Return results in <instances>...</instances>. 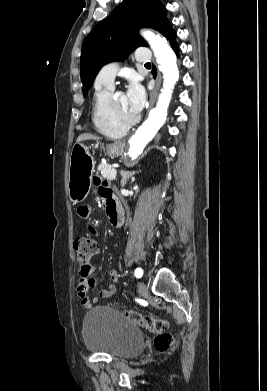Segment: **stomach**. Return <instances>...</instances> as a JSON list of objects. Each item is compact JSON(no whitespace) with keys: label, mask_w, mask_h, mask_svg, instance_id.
<instances>
[{"label":"stomach","mask_w":267,"mask_h":391,"mask_svg":"<svg viewBox=\"0 0 267 391\" xmlns=\"http://www.w3.org/2000/svg\"><path fill=\"white\" fill-rule=\"evenodd\" d=\"M107 154L117 156L121 152V145L114 143L106 147ZM95 161L88 148L76 143L71 151L68 175V193L73 203L82 202L88 195L92 183V172Z\"/></svg>","instance_id":"obj_1"}]
</instances>
